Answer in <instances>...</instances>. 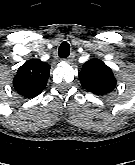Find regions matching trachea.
<instances>
[{"instance_id": "1", "label": "trachea", "mask_w": 135, "mask_h": 165, "mask_svg": "<svg viewBox=\"0 0 135 165\" xmlns=\"http://www.w3.org/2000/svg\"><path fill=\"white\" fill-rule=\"evenodd\" d=\"M58 54H59V57L61 58H67L69 56L70 45L68 44V42L64 41L61 43Z\"/></svg>"}]
</instances>
